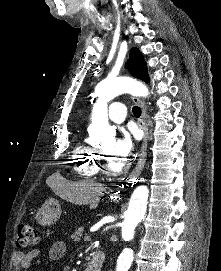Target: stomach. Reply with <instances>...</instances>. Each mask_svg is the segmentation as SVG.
<instances>
[{
  "label": "stomach",
  "instance_id": "0dacf381",
  "mask_svg": "<svg viewBox=\"0 0 221 271\" xmlns=\"http://www.w3.org/2000/svg\"><path fill=\"white\" fill-rule=\"evenodd\" d=\"M61 215V207L59 201H54V199H47L43 203L42 207H39L35 219L40 225H52L57 221L58 217Z\"/></svg>",
  "mask_w": 221,
  "mask_h": 271
}]
</instances>
